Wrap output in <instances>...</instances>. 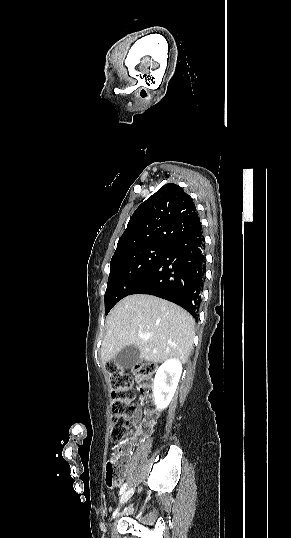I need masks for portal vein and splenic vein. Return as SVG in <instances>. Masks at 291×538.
I'll return each mask as SVG.
<instances>
[{
  "label": "portal vein and splenic vein",
  "instance_id": "1",
  "mask_svg": "<svg viewBox=\"0 0 291 538\" xmlns=\"http://www.w3.org/2000/svg\"><path fill=\"white\" fill-rule=\"evenodd\" d=\"M139 337H141V338H148V335L143 334V333H140V334H139Z\"/></svg>",
  "mask_w": 291,
  "mask_h": 538
}]
</instances>
